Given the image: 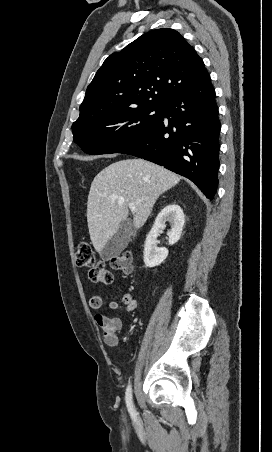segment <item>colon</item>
Wrapping results in <instances>:
<instances>
[{"mask_svg": "<svg viewBox=\"0 0 272 452\" xmlns=\"http://www.w3.org/2000/svg\"><path fill=\"white\" fill-rule=\"evenodd\" d=\"M75 264L78 267L87 268L89 278L97 284L108 285L113 282V273L102 262H98L91 245L87 242H81L77 246L75 253ZM111 268L121 271L128 275L132 272V256L124 253L114 256L111 260Z\"/></svg>", "mask_w": 272, "mask_h": 452, "instance_id": "1", "label": "colon"}]
</instances>
